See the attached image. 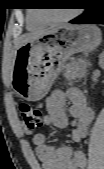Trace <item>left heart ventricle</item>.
Returning <instances> with one entry per match:
<instances>
[{"label":"left heart ventricle","instance_id":"b2bd125f","mask_svg":"<svg viewBox=\"0 0 104 169\" xmlns=\"http://www.w3.org/2000/svg\"><path fill=\"white\" fill-rule=\"evenodd\" d=\"M69 11L64 10H53V11H47L46 16L50 19H58L66 15Z\"/></svg>","mask_w":104,"mask_h":169}]
</instances>
